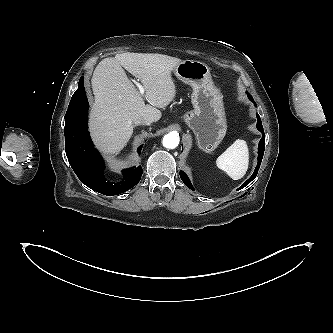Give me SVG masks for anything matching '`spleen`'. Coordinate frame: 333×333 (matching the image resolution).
Instances as JSON below:
<instances>
[{
	"mask_svg": "<svg viewBox=\"0 0 333 333\" xmlns=\"http://www.w3.org/2000/svg\"><path fill=\"white\" fill-rule=\"evenodd\" d=\"M249 164V151L246 141L237 139L216 160V165L233 180L244 177Z\"/></svg>",
	"mask_w": 333,
	"mask_h": 333,
	"instance_id": "3e777b00",
	"label": "spleen"
}]
</instances>
